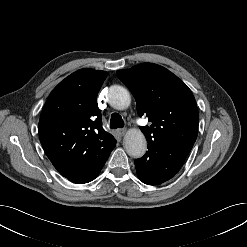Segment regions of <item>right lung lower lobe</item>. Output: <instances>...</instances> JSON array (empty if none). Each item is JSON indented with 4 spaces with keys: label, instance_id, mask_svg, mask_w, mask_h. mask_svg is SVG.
I'll use <instances>...</instances> for the list:
<instances>
[{
    "label": "right lung lower lobe",
    "instance_id": "right-lung-lower-lobe-1",
    "mask_svg": "<svg viewBox=\"0 0 247 247\" xmlns=\"http://www.w3.org/2000/svg\"><path fill=\"white\" fill-rule=\"evenodd\" d=\"M111 151H109L103 157L95 159L94 161L90 162L87 165H84L80 168H77L73 171H70L66 174H63V176L66 177L68 180H70L74 183H78V184L87 183V182L94 180L98 176V174L100 173L101 169L103 168V166H104L105 162L107 161Z\"/></svg>",
    "mask_w": 247,
    "mask_h": 247
}]
</instances>
